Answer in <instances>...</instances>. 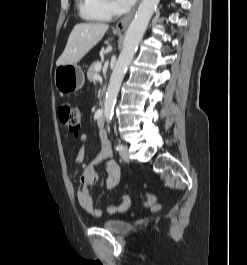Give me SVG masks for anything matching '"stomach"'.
Instances as JSON below:
<instances>
[{
  "label": "stomach",
  "instance_id": "0dacf381",
  "mask_svg": "<svg viewBox=\"0 0 247 265\" xmlns=\"http://www.w3.org/2000/svg\"><path fill=\"white\" fill-rule=\"evenodd\" d=\"M56 89L62 94L78 91L85 82L84 73L78 65L57 66L54 73Z\"/></svg>",
  "mask_w": 247,
  "mask_h": 265
}]
</instances>
